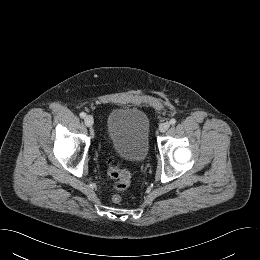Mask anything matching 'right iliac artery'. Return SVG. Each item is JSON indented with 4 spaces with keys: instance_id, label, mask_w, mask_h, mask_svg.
Returning a JSON list of instances; mask_svg holds the SVG:
<instances>
[{
    "instance_id": "right-iliac-artery-1",
    "label": "right iliac artery",
    "mask_w": 260,
    "mask_h": 260,
    "mask_svg": "<svg viewBox=\"0 0 260 260\" xmlns=\"http://www.w3.org/2000/svg\"><path fill=\"white\" fill-rule=\"evenodd\" d=\"M85 116H86V114H85L84 112H81V113H80V117H81V118H84Z\"/></svg>"
}]
</instances>
